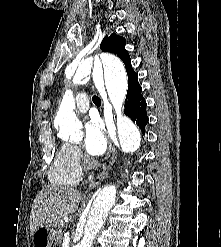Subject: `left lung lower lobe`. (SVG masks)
<instances>
[{"label": "left lung lower lobe", "mask_w": 221, "mask_h": 247, "mask_svg": "<svg viewBox=\"0 0 221 247\" xmlns=\"http://www.w3.org/2000/svg\"><path fill=\"white\" fill-rule=\"evenodd\" d=\"M128 82L124 113L139 126L144 134L148 117L146 113V101L141 94L142 88L138 83V76L132 77Z\"/></svg>", "instance_id": "obj_1"}]
</instances>
